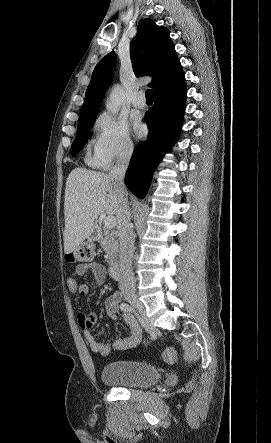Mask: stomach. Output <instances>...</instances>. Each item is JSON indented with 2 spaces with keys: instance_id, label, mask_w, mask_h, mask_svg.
<instances>
[{
  "instance_id": "1",
  "label": "stomach",
  "mask_w": 271,
  "mask_h": 443,
  "mask_svg": "<svg viewBox=\"0 0 271 443\" xmlns=\"http://www.w3.org/2000/svg\"><path fill=\"white\" fill-rule=\"evenodd\" d=\"M101 233L97 227V225H94L93 227V231H91V233H89L87 239H89V241H97V239H99Z\"/></svg>"
}]
</instances>
